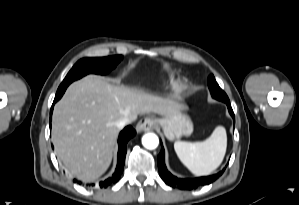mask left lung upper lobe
Here are the masks:
<instances>
[{
    "label": "left lung upper lobe",
    "mask_w": 299,
    "mask_h": 205,
    "mask_svg": "<svg viewBox=\"0 0 299 205\" xmlns=\"http://www.w3.org/2000/svg\"><path fill=\"white\" fill-rule=\"evenodd\" d=\"M208 85L213 98L217 100L228 99L226 93L219 87L213 75L208 77Z\"/></svg>",
    "instance_id": "obj_1"
}]
</instances>
